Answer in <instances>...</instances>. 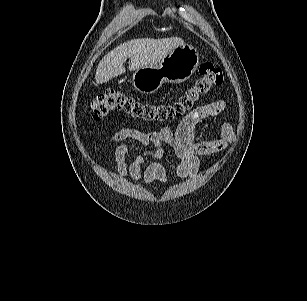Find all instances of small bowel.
<instances>
[{
	"instance_id": "obj_1",
	"label": "small bowel",
	"mask_w": 307,
	"mask_h": 301,
	"mask_svg": "<svg viewBox=\"0 0 307 301\" xmlns=\"http://www.w3.org/2000/svg\"><path fill=\"white\" fill-rule=\"evenodd\" d=\"M225 108L223 100L206 103L186 115L176 129L164 127L159 131L144 132L123 127L117 130L109 140L110 145H116L114 160L117 172L133 182L142 180L148 185L165 183L166 170L157 161L165 156V146H169L180 160L176 166V176L183 180L195 175L201 166L202 156L215 154L234 140L232 127L227 123L222 125L219 139L197 141L195 138L197 124L221 114ZM135 148L142 149V153L128 164L127 154Z\"/></svg>"
}]
</instances>
